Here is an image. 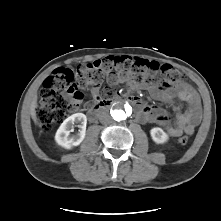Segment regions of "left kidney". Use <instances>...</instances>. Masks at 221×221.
I'll use <instances>...</instances> for the list:
<instances>
[{
  "mask_svg": "<svg viewBox=\"0 0 221 221\" xmlns=\"http://www.w3.org/2000/svg\"><path fill=\"white\" fill-rule=\"evenodd\" d=\"M153 141L157 144H163L167 142L168 135L159 127H154L150 131Z\"/></svg>",
  "mask_w": 221,
  "mask_h": 221,
  "instance_id": "left-kidney-1",
  "label": "left kidney"
}]
</instances>
